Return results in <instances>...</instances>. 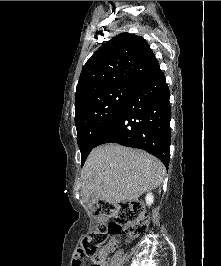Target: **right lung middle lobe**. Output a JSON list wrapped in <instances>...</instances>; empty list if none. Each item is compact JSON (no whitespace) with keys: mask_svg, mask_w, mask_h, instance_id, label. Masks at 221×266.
Wrapping results in <instances>:
<instances>
[{"mask_svg":"<svg viewBox=\"0 0 221 266\" xmlns=\"http://www.w3.org/2000/svg\"><path fill=\"white\" fill-rule=\"evenodd\" d=\"M132 86H115L93 92L75 108L77 142L81 151V165L103 131L118 116L132 93Z\"/></svg>","mask_w":221,"mask_h":266,"instance_id":"obj_1","label":"right lung middle lobe"}]
</instances>
